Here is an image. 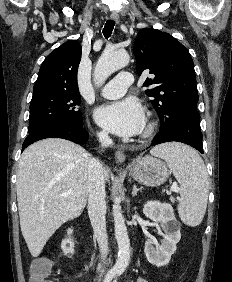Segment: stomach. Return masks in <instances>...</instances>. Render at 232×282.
Listing matches in <instances>:
<instances>
[{"instance_id": "0dacf381", "label": "stomach", "mask_w": 232, "mask_h": 282, "mask_svg": "<svg viewBox=\"0 0 232 282\" xmlns=\"http://www.w3.org/2000/svg\"><path fill=\"white\" fill-rule=\"evenodd\" d=\"M130 174L139 183L155 187L167 180L169 170L162 160L147 155L136 161L130 170Z\"/></svg>"}]
</instances>
